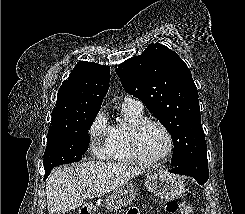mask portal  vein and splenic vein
<instances>
[{"label":"portal vein and splenic vein","mask_w":245,"mask_h":214,"mask_svg":"<svg viewBox=\"0 0 245 214\" xmlns=\"http://www.w3.org/2000/svg\"><path fill=\"white\" fill-rule=\"evenodd\" d=\"M84 186L85 187H90V186H92V184L86 183V184H84Z\"/></svg>","instance_id":"obj_1"}]
</instances>
